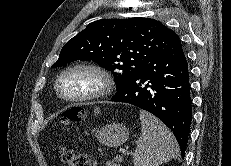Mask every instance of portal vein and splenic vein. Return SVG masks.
Segmentation results:
<instances>
[{"label": "portal vein and splenic vein", "mask_w": 231, "mask_h": 166, "mask_svg": "<svg viewBox=\"0 0 231 166\" xmlns=\"http://www.w3.org/2000/svg\"><path fill=\"white\" fill-rule=\"evenodd\" d=\"M126 154H127V152H126L125 150H123V151H122V155H126ZM116 158H117V159H122V157H121L120 155L117 156Z\"/></svg>", "instance_id": "1"}]
</instances>
